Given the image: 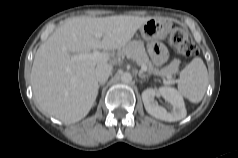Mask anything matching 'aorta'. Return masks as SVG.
I'll list each match as a JSON object with an SVG mask.
<instances>
[{
  "instance_id": "aorta-1",
  "label": "aorta",
  "mask_w": 238,
  "mask_h": 158,
  "mask_svg": "<svg viewBox=\"0 0 238 158\" xmlns=\"http://www.w3.org/2000/svg\"><path fill=\"white\" fill-rule=\"evenodd\" d=\"M121 81L123 83H130L132 81V75L129 72L122 73Z\"/></svg>"
}]
</instances>
